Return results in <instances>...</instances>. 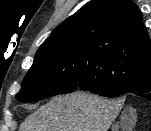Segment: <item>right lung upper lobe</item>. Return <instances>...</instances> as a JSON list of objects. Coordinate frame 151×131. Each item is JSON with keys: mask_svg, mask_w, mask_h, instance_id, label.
<instances>
[{"mask_svg": "<svg viewBox=\"0 0 151 131\" xmlns=\"http://www.w3.org/2000/svg\"><path fill=\"white\" fill-rule=\"evenodd\" d=\"M75 43L110 86L151 82V41L131 0H92L57 26L39 49Z\"/></svg>", "mask_w": 151, "mask_h": 131, "instance_id": "obj_1", "label": "right lung upper lobe"}]
</instances>
